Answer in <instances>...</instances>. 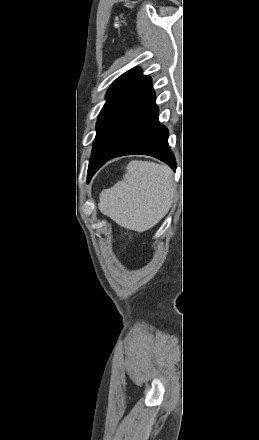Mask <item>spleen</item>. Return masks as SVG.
I'll return each instance as SVG.
<instances>
[{
    "label": "spleen",
    "mask_w": 259,
    "mask_h": 440,
    "mask_svg": "<svg viewBox=\"0 0 259 440\" xmlns=\"http://www.w3.org/2000/svg\"><path fill=\"white\" fill-rule=\"evenodd\" d=\"M175 195L173 172L168 166L133 160L123 180L101 192L99 210L120 226L144 232L168 213Z\"/></svg>",
    "instance_id": "spleen-1"
}]
</instances>
